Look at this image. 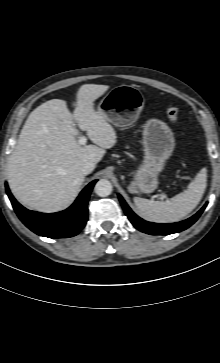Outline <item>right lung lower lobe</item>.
<instances>
[{"label":"right lung lower lobe","mask_w":220,"mask_h":363,"mask_svg":"<svg viewBox=\"0 0 220 363\" xmlns=\"http://www.w3.org/2000/svg\"><path fill=\"white\" fill-rule=\"evenodd\" d=\"M97 180L88 184L68 209L58 213H39L20 205L12 196L7 183L6 192L20 220L33 232L49 238H67L78 234L88 218L87 203Z\"/></svg>","instance_id":"98d812e1"}]
</instances>
